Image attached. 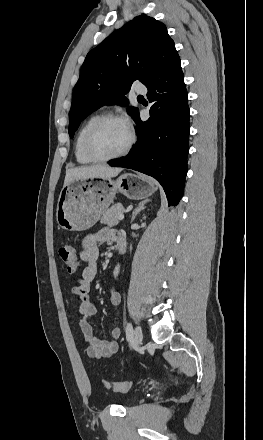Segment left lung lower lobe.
I'll list each match as a JSON object with an SVG mask.
<instances>
[{"label":"left lung lower lobe","instance_id":"left-lung-lower-lobe-1","mask_svg":"<svg viewBox=\"0 0 263 440\" xmlns=\"http://www.w3.org/2000/svg\"><path fill=\"white\" fill-rule=\"evenodd\" d=\"M153 105L150 118L143 122L139 113L138 141L130 153L109 165L130 168L154 177L164 188L168 205L180 201L187 173L189 152L188 94L179 56L160 69L146 84Z\"/></svg>","mask_w":263,"mask_h":440}]
</instances>
